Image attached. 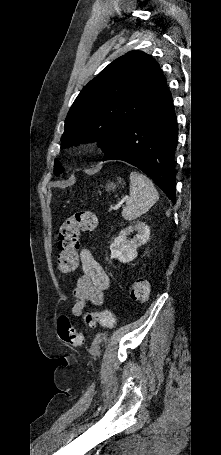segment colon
<instances>
[{"mask_svg":"<svg viewBox=\"0 0 221 455\" xmlns=\"http://www.w3.org/2000/svg\"><path fill=\"white\" fill-rule=\"evenodd\" d=\"M98 224L97 216L92 211H80L68 217L61 225L59 231V256L58 268L63 273L73 272L78 265L80 234L92 232ZM130 298L133 301L144 303L149 299V284L144 279L136 280L129 289ZM84 321L88 326L101 324L111 327L114 324V315L110 311L87 312ZM57 332L63 342L68 345L79 346L83 343L84 337L77 332L70 319L62 315L57 320Z\"/></svg>","mask_w":221,"mask_h":455,"instance_id":"obj_1","label":"colon"}]
</instances>
